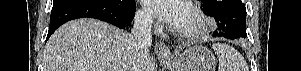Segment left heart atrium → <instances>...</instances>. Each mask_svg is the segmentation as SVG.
<instances>
[{
    "label": "left heart atrium",
    "mask_w": 301,
    "mask_h": 71,
    "mask_svg": "<svg viewBox=\"0 0 301 71\" xmlns=\"http://www.w3.org/2000/svg\"><path fill=\"white\" fill-rule=\"evenodd\" d=\"M145 8L165 21L170 27L180 29L187 7L182 0H143Z\"/></svg>",
    "instance_id": "left-heart-atrium-1"
}]
</instances>
